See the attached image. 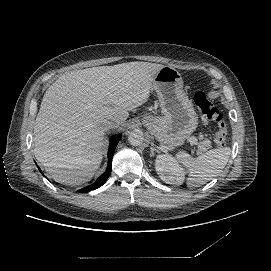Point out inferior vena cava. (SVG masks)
Here are the masks:
<instances>
[{
	"label": "inferior vena cava",
	"mask_w": 271,
	"mask_h": 271,
	"mask_svg": "<svg viewBox=\"0 0 271 271\" xmlns=\"http://www.w3.org/2000/svg\"><path fill=\"white\" fill-rule=\"evenodd\" d=\"M120 125L119 122L117 121H112V120H103L102 124H101V127L103 129V131H108L109 129H115V128H118Z\"/></svg>",
	"instance_id": "1"
}]
</instances>
